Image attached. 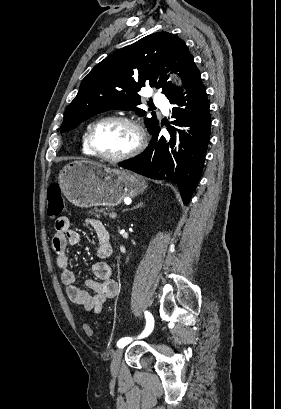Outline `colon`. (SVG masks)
<instances>
[{
	"label": "colon",
	"mask_w": 281,
	"mask_h": 409,
	"mask_svg": "<svg viewBox=\"0 0 281 409\" xmlns=\"http://www.w3.org/2000/svg\"><path fill=\"white\" fill-rule=\"evenodd\" d=\"M47 197H48V215L51 218L59 217L64 209V202L61 195V188L58 184L50 185L47 190ZM85 328L89 327L88 323L84 324ZM88 335L93 333L91 328L86 330Z\"/></svg>",
	"instance_id": "1"
}]
</instances>
